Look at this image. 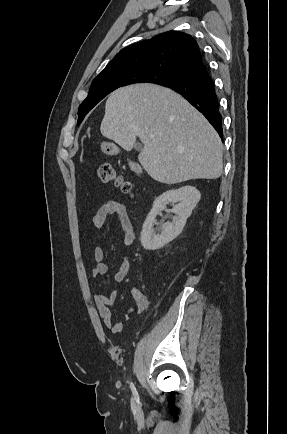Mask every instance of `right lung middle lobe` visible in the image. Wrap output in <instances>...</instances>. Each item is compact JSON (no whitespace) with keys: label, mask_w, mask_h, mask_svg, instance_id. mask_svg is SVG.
Returning <instances> with one entry per match:
<instances>
[{"label":"right lung middle lobe","mask_w":287,"mask_h":434,"mask_svg":"<svg viewBox=\"0 0 287 434\" xmlns=\"http://www.w3.org/2000/svg\"><path fill=\"white\" fill-rule=\"evenodd\" d=\"M180 77V74L149 70L137 74H123L93 80L87 98L79 107L77 124L81 123L85 115L97 103L119 87L136 83H153L164 86V84L176 82Z\"/></svg>","instance_id":"obj_1"}]
</instances>
